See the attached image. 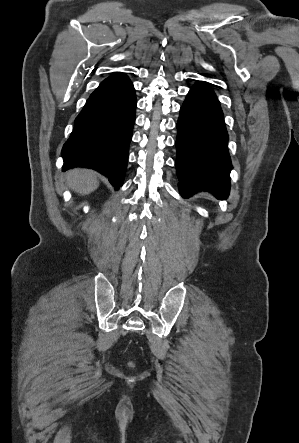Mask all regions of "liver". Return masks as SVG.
<instances>
[{
    "instance_id": "liver-1",
    "label": "liver",
    "mask_w": 299,
    "mask_h": 443,
    "mask_svg": "<svg viewBox=\"0 0 299 443\" xmlns=\"http://www.w3.org/2000/svg\"><path fill=\"white\" fill-rule=\"evenodd\" d=\"M66 181L69 188L80 195L90 194L99 186L96 173L85 168H74L66 172Z\"/></svg>"
}]
</instances>
